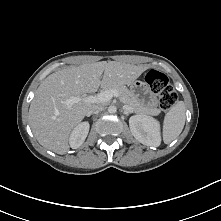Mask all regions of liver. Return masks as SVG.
Returning <instances> with one entry per match:
<instances>
[{"instance_id": "1", "label": "liver", "mask_w": 221, "mask_h": 221, "mask_svg": "<svg viewBox=\"0 0 221 221\" xmlns=\"http://www.w3.org/2000/svg\"><path fill=\"white\" fill-rule=\"evenodd\" d=\"M146 69L116 61H102L52 73L38 87L29 108V122L37 141L57 154H65L69 150L71 131L93 105L78 102L69 108L64 102L72 96L94 93L99 86L130 84Z\"/></svg>"}]
</instances>
